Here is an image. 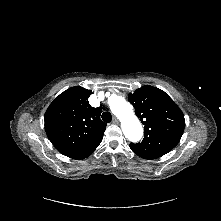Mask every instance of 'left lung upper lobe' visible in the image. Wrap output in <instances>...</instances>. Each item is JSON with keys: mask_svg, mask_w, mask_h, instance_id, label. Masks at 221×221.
<instances>
[{"mask_svg": "<svg viewBox=\"0 0 221 221\" xmlns=\"http://www.w3.org/2000/svg\"><path fill=\"white\" fill-rule=\"evenodd\" d=\"M135 114L144 124V139L130 148L144 159H155L171 151L180 141L184 114L162 90L145 85L128 95Z\"/></svg>", "mask_w": 221, "mask_h": 221, "instance_id": "1", "label": "left lung upper lobe"}]
</instances>
